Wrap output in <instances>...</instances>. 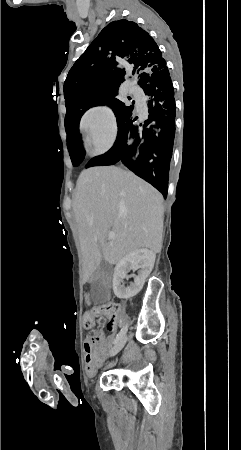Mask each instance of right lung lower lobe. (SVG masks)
Listing matches in <instances>:
<instances>
[{"label":"right lung lower lobe","mask_w":241,"mask_h":450,"mask_svg":"<svg viewBox=\"0 0 241 450\" xmlns=\"http://www.w3.org/2000/svg\"><path fill=\"white\" fill-rule=\"evenodd\" d=\"M138 83L149 97L148 119L140 126L133 125L137 117L118 124L113 147L90 160L85 167L122 163L166 198L175 136L174 88L166 65L145 72ZM81 116H70L65 120V128L70 142L69 150L85 155L79 137Z\"/></svg>","instance_id":"right-lung-lower-lobe-1"}]
</instances>
